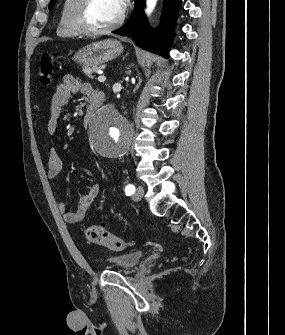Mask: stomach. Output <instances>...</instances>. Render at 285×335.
<instances>
[{"label":"stomach","mask_w":285,"mask_h":335,"mask_svg":"<svg viewBox=\"0 0 285 335\" xmlns=\"http://www.w3.org/2000/svg\"><path fill=\"white\" fill-rule=\"evenodd\" d=\"M123 52V46L118 40H102V42H93L89 46H84L76 52L74 62L80 66H101L109 60H114Z\"/></svg>","instance_id":"obj_1"}]
</instances>
